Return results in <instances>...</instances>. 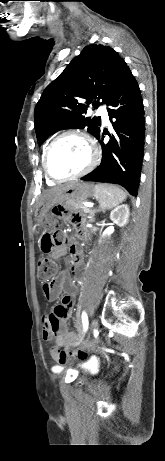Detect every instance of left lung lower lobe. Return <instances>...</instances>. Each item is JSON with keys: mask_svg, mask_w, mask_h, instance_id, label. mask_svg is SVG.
Listing matches in <instances>:
<instances>
[{"mask_svg": "<svg viewBox=\"0 0 165 461\" xmlns=\"http://www.w3.org/2000/svg\"><path fill=\"white\" fill-rule=\"evenodd\" d=\"M106 105L115 135L103 143L105 132L96 137L102 144L101 164L81 179L119 184L136 196L144 154L145 119L138 83L128 68Z\"/></svg>", "mask_w": 165, "mask_h": 461, "instance_id": "1", "label": "left lung lower lobe"}]
</instances>
